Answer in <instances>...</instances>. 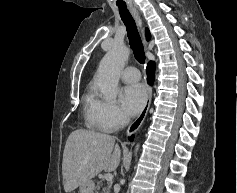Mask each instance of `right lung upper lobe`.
I'll list each match as a JSON object with an SVG mask.
<instances>
[{
	"label": "right lung upper lobe",
	"mask_w": 237,
	"mask_h": 193,
	"mask_svg": "<svg viewBox=\"0 0 237 193\" xmlns=\"http://www.w3.org/2000/svg\"><path fill=\"white\" fill-rule=\"evenodd\" d=\"M146 37H147V40H150V32L148 29L146 30Z\"/></svg>",
	"instance_id": "1"
}]
</instances>
